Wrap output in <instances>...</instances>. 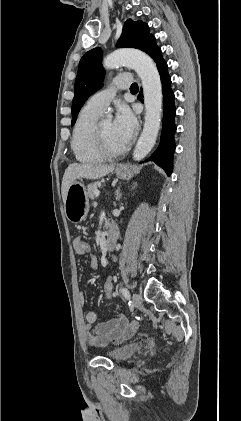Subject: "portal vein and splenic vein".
I'll return each mask as SVG.
<instances>
[{"label": "portal vein and splenic vein", "instance_id": "portal-vein-and-splenic-vein-1", "mask_svg": "<svg viewBox=\"0 0 241 421\" xmlns=\"http://www.w3.org/2000/svg\"><path fill=\"white\" fill-rule=\"evenodd\" d=\"M94 194H95L96 197H98L100 195V192L97 190V191H95Z\"/></svg>", "mask_w": 241, "mask_h": 421}]
</instances>
